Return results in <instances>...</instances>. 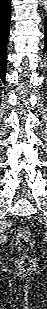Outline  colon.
Listing matches in <instances>:
<instances>
[{
    "mask_svg": "<svg viewBox=\"0 0 47 309\" xmlns=\"http://www.w3.org/2000/svg\"><path fill=\"white\" fill-rule=\"evenodd\" d=\"M16 246L24 253L18 259V268L23 272H31L36 268V261L33 257L26 255L32 249L31 232L28 228L22 227L15 232Z\"/></svg>",
    "mask_w": 47,
    "mask_h": 309,
    "instance_id": "colon-1",
    "label": "colon"
}]
</instances>
